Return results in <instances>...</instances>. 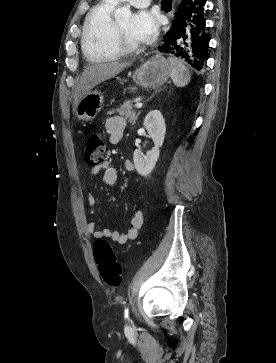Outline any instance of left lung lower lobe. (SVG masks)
<instances>
[{
  "instance_id": "left-lung-lower-lobe-1",
  "label": "left lung lower lobe",
  "mask_w": 276,
  "mask_h": 363,
  "mask_svg": "<svg viewBox=\"0 0 276 363\" xmlns=\"http://www.w3.org/2000/svg\"><path fill=\"white\" fill-rule=\"evenodd\" d=\"M204 5L205 0H183L172 29L159 47L160 51L172 54L198 71L204 68L208 49Z\"/></svg>"
}]
</instances>
